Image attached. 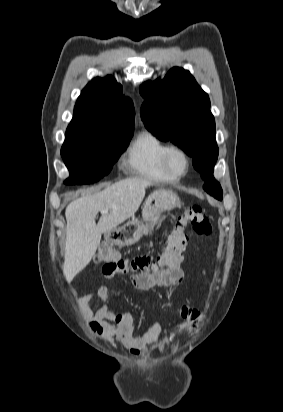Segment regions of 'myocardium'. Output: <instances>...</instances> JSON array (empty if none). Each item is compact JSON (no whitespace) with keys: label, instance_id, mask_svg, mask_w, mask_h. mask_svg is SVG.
Instances as JSON below:
<instances>
[{"label":"myocardium","instance_id":"obj_1","mask_svg":"<svg viewBox=\"0 0 283 412\" xmlns=\"http://www.w3.org/2000/svg\"><path fill=\"white\" fill-rule=\"evenodd\" d=\"M180 154L181 156H183L184 160H185V168L183 171H176L172 168L171 164H170V159L171 156L173 154ZM191 156L190 154L187 152V150H185L183 147L178 146V145H169L166 150L163 153V157H162V166L164 168V170L172 177L174 178H180L185 176L191 168Z\"/></svg>","mask_w":283,"mask_h":412}]
</instances>
